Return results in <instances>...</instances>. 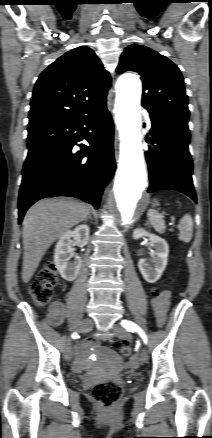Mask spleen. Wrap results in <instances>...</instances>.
Instances as JSON below:
<instances>
[{"instance_id":"spleen-1","label":"spleen","mask_w":212,"mask_h":438,"mask_svg":"<svg viewBox=\"0 0 212 438\" xmlns=\"http://www.w3.org/2000/svg\"><path fill=\"white\" fill-rule=\"evenodd\" d=\"M148 219L154 229L158 233H164L166 226L165 222L163 220V216L159 214L154 209H149L147 212ZM178 229L180 231L179 233V240L188 243L192 239L193 234V220L192 217L189 214H185L179 221Z\"/></svg>"}]
</instances>
